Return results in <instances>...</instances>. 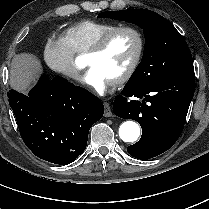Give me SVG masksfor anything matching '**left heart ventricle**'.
Wrapping results in <instances>:
<instances>
[{"instance_id":"b2bd125f","label":"left heart ventricle","mask_w":209,"mask_h":209,"mask_svg":"<svg viewBox=\"0 0 209 209\" xmlns=\"http://www.w3.org/2000/svg\"><path fill=\"white\" fill-rule=\"evenodd\" d=\"M137 51V39L131 32H120L99 55L86 56L85 63L100 69L112 81L124 74Z\"/></svg>"}]
</instances>
